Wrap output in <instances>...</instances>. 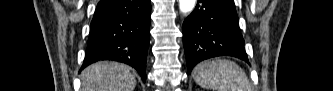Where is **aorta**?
<instances>
[{"label":"aorta","mask_w":333,"mask_h":91,"mask_svg":"<svg viewBox=\"0 0 333 91\" xmlns=\"http://www.w3.org/2000/svg\"><path fill=\"white\" fill-rule=\"evenodd\" d=\"M196 2V0H179V9L182 13H189L194 9Z\"/></svg>","instance_id":"aorta-1"}]
</instances>
